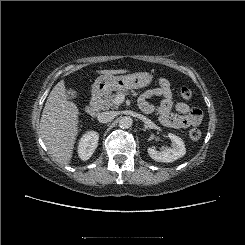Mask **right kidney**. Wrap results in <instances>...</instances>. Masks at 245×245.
<instances>
[{"label":"right kidney","instance_id":"right-kidney-1","mask_svg":"<svg viewBox=\"0 0 245 245\" xmlns=\"http://www.w3.org/2000/svg\"><path fill=\"white\" fill-rule=\"evenodd\" d=\"M99 134L95 131H89L84 134L78 145V154L82 160H88L98 146Z\"/></svg>","mask_w":245,"mask_h":245}]
</instances>
